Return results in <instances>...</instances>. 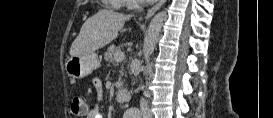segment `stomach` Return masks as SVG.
Returning <instances> with one entry per match:
<instances>
[{"label":"stomach","instance_id":"stomach-1","mask_svg":"<svg viewBox=\"0 0 273 118\" xmlns=\"http://www.w3.org/2000/svg\"><path fill=\"white\" fill-rule=\"evenodd\" d=\"M101 60L95 52L71 56L65 64L66 72L73 79L89 76L100 66Z\"/></svg>","mask_w":273,"mask_h":118}]
</instances>
